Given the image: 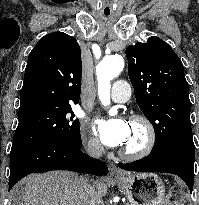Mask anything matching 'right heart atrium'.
I'll return each mask as SVG.
<instances>
[{"label":"right heart atrium","instance_id":"right-heart-atrium-1","mask_svg":"<svg viewBox=\"0 0 199 205\" xmlns=\"http://www.w3.org/2000/svg\"><path fill=\"white\" fill-rule=\"evenodd\" d=\"M86 150L92 156H98L101 152V147L97 140L93 138H89L86 141Z\"/></svg>","mask_w":199,"mask_h":205}]
</instances>
